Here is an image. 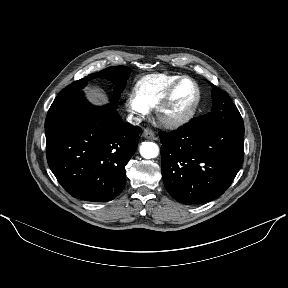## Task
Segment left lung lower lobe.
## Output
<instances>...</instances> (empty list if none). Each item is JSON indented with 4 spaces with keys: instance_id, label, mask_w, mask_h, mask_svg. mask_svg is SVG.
<instances>
[{
    "instance_id": "1",
    "label": "left lung lower lobe",
    "mask_w": 288,
    "mask_h": 288,
    "mask_svg": "<svg viewBox=\"0 0 288 288\" xmlns=\"http://www.w3.org/2000/svg\"><path fill=\"white\" fill-rule=\"evenodd\" d=\"M165 188L178 202L199 204L221 196L241 168L244 134L193 118L159 133Z\"/></svg>"
}]
</instances>
